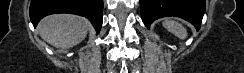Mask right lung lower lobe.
<instances>
[{
	"label": "right lung lower lobe",
	"instance_id": "1",
	"mask_svg": "<svg viewBox=\"0 0 244 73\" xmlns=\"http://www.w3.org/2000/svg\"><path fill=\"white\" fill-rule=\"evenodd\" d=\"M71 13L88 18L97 33L103 21V0H32L30 19L34 27L47 15Z\"/></svg>",
	"mask_w": 244,
	"mask_h": 73
}]
</instances>
